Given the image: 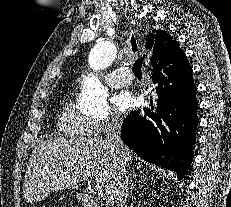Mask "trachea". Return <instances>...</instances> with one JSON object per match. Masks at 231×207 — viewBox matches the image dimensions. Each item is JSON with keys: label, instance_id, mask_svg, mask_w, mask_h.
Wrapping results in <instances>:
<instances>
[{"label": "trachea", "instance_id": "3493384b", "mask_svg": "<svg viewBox=\"0 0 231 207\" xmlns=\"http://www.w3.org/2000/svg\"><path fill=\"white\" fill-rule=\"evenodd\" d=\"M131 46H132V51L136 52L137 51V44H136V40H135L133 35L131 37ZM143 61H144V57H141V58L137 59L135 61V63L133 64V72H134L135 76L138 78L142 77L141 68H142Z\"/></svg>", "mask_w": 231, "mask_h": 207}]
</instances>
